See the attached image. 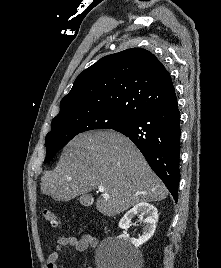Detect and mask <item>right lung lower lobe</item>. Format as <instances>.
Instances as JSON below:
<instances>
[{
    "mask_svg": "<svg viewBox=\"0 0 221 268\" xmlns=\"http://www.w3.org/2000/svg\"><path fill=\"white\" fill-rule=\"evenodd\" d=\"M127 136L177 202L180 180V112L177 100L112 128Z\"/></svg>",
    "mask_w": 221,
    "mask_h": 268,
    "instance_id": "obj_1",
    "label": "right lung lower lobe"
}]
</instances>
